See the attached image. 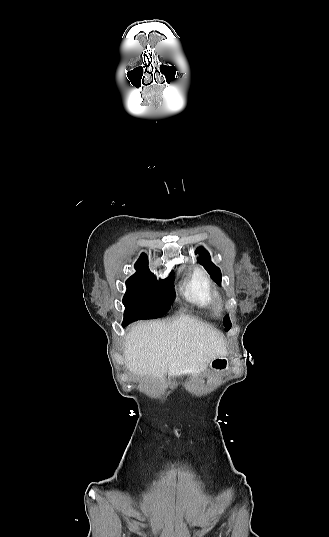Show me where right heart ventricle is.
I'll use <instances>...</instances> for the list:
<instances>
[{
	"mask_svg": "<svg viewBox=\"0 0 329 537\" xmlns=\"http://www.w3.org/2000/svg\"><path fill=\"white\" fill-rule=\"evenodd\" d=\"M182 289L186 298L198 306L214 310L223 308L219 289L201 267H194L189 271Z\"/></svg>",
	"mask_w": 329,
	"mask_h": 537,
	"instance_id": "1",
	"label": "right heart ventricle"
}]
</instances>
